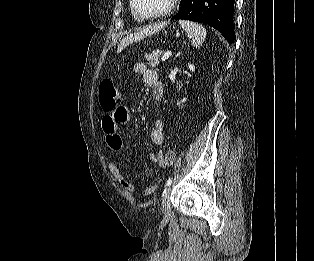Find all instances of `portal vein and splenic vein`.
<instances>
[{
  "label": "portal vein and splenic vein",
  "mask_w": 314,
  "mask_h": 261,
  "mask_svg": "<svg viewBox=\"0 0 314 261\" xmlns=\"http://www.w3.org/2000/svg\"><path fill=\"white\" fill-rule=\"evenodd\" d=\"M171 51H167V53H165L163 56H162V58H161V60L162 61H166L170 56H171Z\"/></svg>",
  "instance_id": "18ae733b"
}]
</instances>
